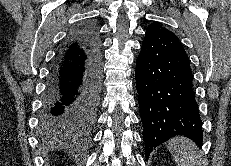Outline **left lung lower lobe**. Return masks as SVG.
<instances>
[{"instance_id":"1","label":"left lung lower lobe","mask_w":231,"mask_h":166,"mask_svg":"<svg viewBox=\"0 0 231 166\" xmlns=\"http://www.w3.org/2000/svg\"><path fill=\"white\" fill-rule=\"evenodd\" d=\"M145 153L176 135L203 141L188 56L174 33L148 26L136 60Z\"/></svg>"}]
</instances>
